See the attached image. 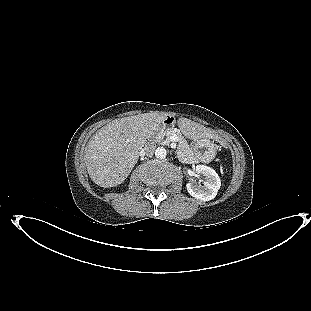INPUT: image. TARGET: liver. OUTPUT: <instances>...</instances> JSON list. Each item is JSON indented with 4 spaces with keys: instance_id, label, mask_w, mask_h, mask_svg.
I'll return each mask as SVG.
<instances>
[{
    "instance_id": "1",
    "label": "liver",
    "mask_w": 311,
    "mask_h": 311,
    "mask_svg": "<svg viewBox=\"0 0 311 311\" xmlns=\"http://www.w3.org/2000/svg\"><path fill=\"white\" fill-rule=\"evenodd\" d=\"M167 113L151 112L116 119L102 127L88 142L85 160L91 180L98 186L115 187L129 176L146 139L153 136ZM180 130L193 137L206 136L203 126L186 118L178 120Z\"/></svg>"
}]
</instances>
